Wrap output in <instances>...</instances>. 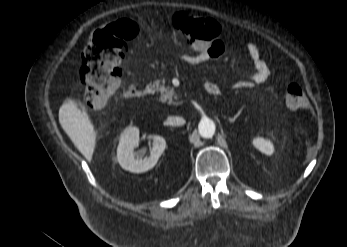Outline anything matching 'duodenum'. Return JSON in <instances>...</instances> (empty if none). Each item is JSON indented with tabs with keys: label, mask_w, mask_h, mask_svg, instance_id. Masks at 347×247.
Here are the masks:
<instances>
[{
	"label": "duodenum",
	"mask_w": 347,
	"mask_h": 247,
	"mask_svg": "<svg viewBox=\"0 0 347 247\" xmlns=\"http://www.w3.org/2000/svg\"><path fill=\"white\" fill-rule=\"evenodd\" d=\"M208 94L210 95H214L215 92L213 91H207ZM150 93V89L149 88H146V87H133L131 89H129L127 92H126V96L127 97H132V98H143L145 96H147L148 94Z\"/></svg>",
	"instance_id": "1"
}]
</instances>
